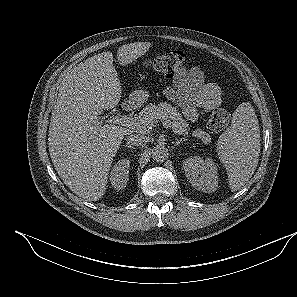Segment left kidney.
I'll use <instances>...</instances> for the list:
<instances>
[{
    "label": "left kidney",
    "mask_w": 297,
    "mask_h": 297,
    "mask_svg": "<svg viewBox=\"0 0 297 297\" xmlns=\"http://www.w3.org/2000/svg\"><path fill=\"white\" fill-rule=\"evenodd\" d=\"M183 168L191 185L205 193L214 192L218 187L217 167L210 158L199 156L184 160Z\"/></svg>",
    "instance_id": "left-kidney-1"
}]
</instances>
